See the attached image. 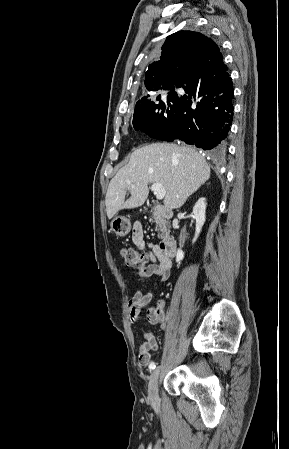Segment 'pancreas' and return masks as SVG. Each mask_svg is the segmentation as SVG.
I'll list each match as a JSON object with an SVG mask.
<instances>
[{
    "mask_svg": "<svg viewBox=\"0 0 289 449\" xmlns=\"http://www.w3.org/2000/svg\"><path fill=\"white\" fill-rule=\"evenodd\" d=\"M150 221L155 222L156 230L159 232V237L162 238L168 230L164 218L160 215H155L153 218H150Z\"/></svg>",
    "mask_w": 289,
    "mask_h": 449,
    "instance_id": "1",
    "label": "pancreas"
}]
</instances>
